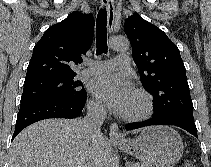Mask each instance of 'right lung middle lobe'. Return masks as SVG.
Returning <instances> with one entry per match:
<instances>
[{
	"mask_svg": "<svg viewBox=\"0 0 211 167\" xmlns=\"http://www.w3.org/2000/svg\"><path fill=\"white\" fill-rule=\"evenodd\" d=\"M72 76H47L25 81L21 103L38 100H70L85 93L83 84Z\"/></svg>",
	"mask_w": 211,
	"mask_h": 167,
	"instance_id": "1",
	"label": "right lung middle lobe"
}]
</instances>
